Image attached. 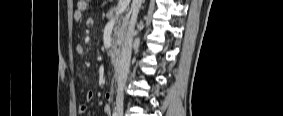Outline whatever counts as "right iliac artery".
<instances>
[{
    "mask_svg": "<svg viewBox=\"0 0 283 116\" xmlns=\"http://www.w3.org/2000/svg\"><path fill=\"white\" fill-rule=\"evenodd\" d=\"M113 116H118V114L116 112L113 113Z\"/></svg>",
    "mask_w": 283,
    "mask_h": 116,
    "instance_id": "1",
    "label": "right iliac artery"
}]
</instances>
